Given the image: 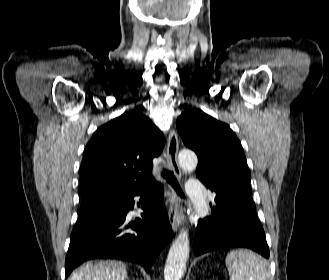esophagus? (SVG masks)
<instances>
[{
    "instance_id": "obj_1",
    "label": "esophagus",
    "mask_w": 329,
    "mask_h": 280,
    "mask_svg": "<svg viewBox=\"0 0 329 280\" xmlns=\"http://www.w3.org/2000/svg\"><path fill=\"white\" fill-rule=\"evenodd\" d=\"M179 149L178 136L175 130H171L167 142V162L177 176L178 179L181 178V170L177 160V154ZM168 217L173 231H177L183 220V211L180 204V200L177 197L174 189L168 186Z\"/></svg>"
}]
</instances>
